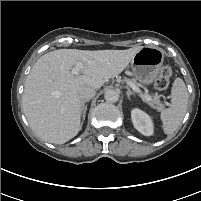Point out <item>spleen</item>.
<instances>
[{"label": "spleen", "mask_w": 201, "mask_h": 201, "mask_svg": "<svg viewBox=\"0 0 201 201\" xmlns=\"http://www.w3.org/2000/svg\"><path fill=\"white\" fill-rule=\"evenodd\" d=\"M188 104V92L181 78L174 80L171 90L170 107L161 112L164 133L173 134L182 122Z\"/></svg>", "instance_id": "3e777b00"}]
</instances>
